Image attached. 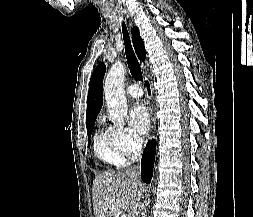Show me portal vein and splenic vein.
Listing matches in <instances>:
<instances>
[{
  "mask_svg": "<svg viewBox=\"0 0 253 217\" xmlns=\"http://www.w3.org/2000/svg\"><path fill=\"white\" fill-rule=\"evenodd\" d=\"M121 217H131V216H126V215L124 214V215H122Z\"/></svg>",
  "mask_w": 253,
  "mask_h": 217,
  "instance_id": "18ae733b",
  "label": "portal vein and splenic vein"
}]
</instances>
